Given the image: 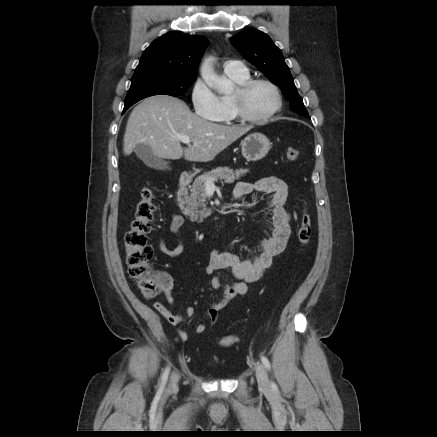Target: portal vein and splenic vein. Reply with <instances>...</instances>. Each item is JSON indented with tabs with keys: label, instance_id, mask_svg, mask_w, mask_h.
I'll list each match as a JSON object with an SVG mask.
<instances>
[{
	"label": "portal vein and splenic vein",
	"instance_id": "18ae733b",
	"mask_svg": "<svg viewBox=\"0 0 437 437\" xmlns=\"http://www.w3.org/2000/svg\"><path fill=\"white\" fill-rule=\"evenodd\" d=\"M176 139L184 144H190L191 142L189 137L183 135H177ZM204 185L206 190H215L214 181L211 178H207L204 182Z\"/></svg>",
	"mask_w": 437,
	"mask_h": 437
}]
</instances>
